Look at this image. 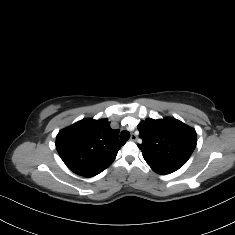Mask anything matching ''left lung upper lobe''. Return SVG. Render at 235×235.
I'll return each mask as SVG.
<instances>
[{"instance_id": "5c2ea615", "label": "left lung upper lobe", "mask_w": 235, "mask_h": 235, "mask_svg": "<svg viewBox=\"0 0 235 235\" xmlns=\"http://www.w3.org/2000/svg\"><path fill=\"white\" fill-rule=\"evenodd\" d=\"M138 130L142 143L137 146L146 161L181 167L197 144L196 131L171 117L159 120L148 118L141 121Z\"/></svg>"}]
</instances>
